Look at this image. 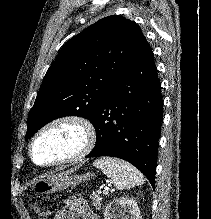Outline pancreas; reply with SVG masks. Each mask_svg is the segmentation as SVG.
<instances>
[{"instance_id":"1","label":"pancreas","mask_w":211,"mask_h":219,"mask_svg":"<svg viewBox=\"0 0 211 219\" xmlns=\"http://www.w3.org/2000/svg\"><path fill=\"white\" fill-rule=\"evenodd\" d=\"M90 199L92 200L93 206H95V208L97 210H100L101 209L102 197L99 194H97V193H92L90 195Z\"/></svg>"}]
</instances>
